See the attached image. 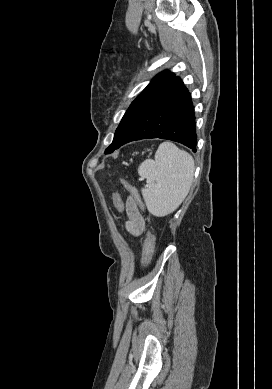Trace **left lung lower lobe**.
Segmentation results:
<instances>
[{"label":"left lung lower lobe","instance_id":"1","mask_svg":"<svg viewBox=\"0 0 272 389\" xmlns=\"http://www.w3.org/2000/svg\"><path fill=\"white\" fill-rule=\"evenodd\" d=\"M196 137L191 95L182 80L175 77L151 97L120 147L135 140L161 138L196 152Z\"/></svg>","mask_w":272,"mask_h":389}]
</instances>
